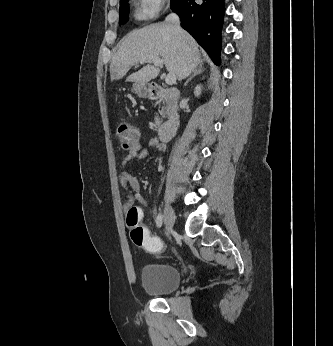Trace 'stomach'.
<instances>
[{
	"instance_id": "obj_1",
	"label": "stomach",
	"mask_w": 333,
	"mask_h": 346,
	"mask_svg": "<svg viewBox=\"0 0 333 346\" xmlns=\"http://www.w3.org/2000/svg\"><path fill=\"white\" fill-rule=\"evenodd\" d=\"M133 91L140 97V98H147L151 94V86L148 83H134L133 84Z\"/></svg>"
}]
</instances>
